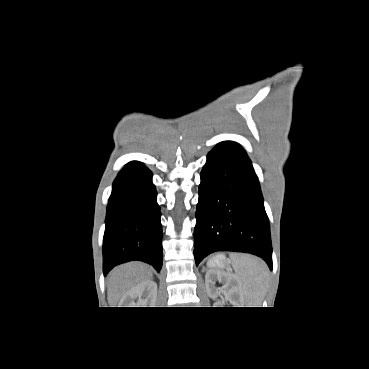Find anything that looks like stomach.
I'll use <instances>...</instances> for the list:
<instances>
[{"mask_svg":"<svg viewBox=\"0 0 369 369\" xmlns=\"http://www.w3.org/2000/svg\"><path fill=\"white\" fill-rule=\"evenodd\" d=\"M224 260H225V257L223 255H218L216 257H214L212 260H210V264L208 262V265L209 266H212V267H219V268H223L224 267Z\"/></svg>","mask_w":369,"mask_h":369,"instance_id":"0dacf381","label":"stomach"}]
</instances>
